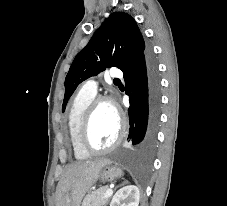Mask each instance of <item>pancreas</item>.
I'll return each instance as SVG.
<instances>
[{
  "instance_id": "obj_1",
  "label": "pancreas",
  "mask_w": 227,
  "mask_h": 206,
  "mask_svg": "<svg viewBox=\"0 0 227 206\" xmlns=\"http://www.w3.org/2000/svg\"><path fill=\"white\" fill-rule=\"evenodd\" d=\"M108 187H100L85 196L82 206H104L108 203L109 197H105Z\"/></svg>"
}]
</instances>
